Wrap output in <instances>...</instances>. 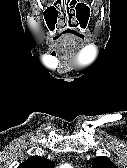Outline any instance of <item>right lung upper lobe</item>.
Here are the masks:
<instances>
[{
	"instance_id": "right-lung-upper-lobe-1",
	"label": "right lung upper lobe",
	"mask_w": 127,
	"mask_h": 168,
	"mask_svg": "<svg viewBox=\"0 0 127 168\" xmlns=\"http://www.w3.org/2000/svg\"><path fill=\"white\" fill-rule=\"evenodd\" d=\"M55 162L40 156H33L22 162L18 168H54Z\"/></svg>"
}]
</instances>
